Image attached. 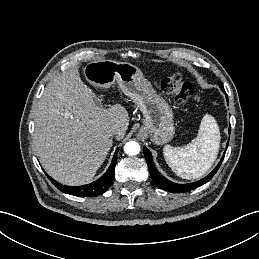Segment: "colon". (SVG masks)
<instances>
[{
  "label": "colon",
  "mask_w": 259,
  "mask_h": 259,
  "mask_svg": "<svg viewBox=\"0 0 259 259\" xmlns=\"http://www.w3.org/2000/svg\"><path fill=\"white\" fill-rule=\"evenodd\" d=\"M161 87L166 93L173 95L178 104L197 103L202 99L195 86L190 82L184 81L180 73L167 75L162 80Z\"/></svg>",
  "instance_id": "1"
}]
</instances>
